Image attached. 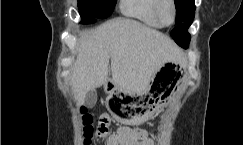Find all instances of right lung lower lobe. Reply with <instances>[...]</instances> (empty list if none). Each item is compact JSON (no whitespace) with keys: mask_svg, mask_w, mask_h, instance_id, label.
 <instances>
[{"mask_svg":"<svg viewBox=\"0 0 243 145\" xmlns=\"http://www.w3.org/2000/svg\"><path fill=\"white\" fill-rule=\"evenodd\" d=\"M80 15H81L83 23H92L95 21V19H98V18L92 16L91 14L82 12V11H80Z\"/></svg>","mask_w":243,"mask_h":145,"instance_id":"98d812e1","label":"right lung lower lobe"}]
</instances>
